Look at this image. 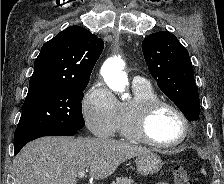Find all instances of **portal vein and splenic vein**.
<instances>
[{"mask_svg":"<svg viewBox=\"0 0 224 184\" xmlns=\"http://www.w3.org/2000/svg\"><path fill=\"white\" fill-rule=\"evenodd\" d=\"M86 172H87V170L80 171L78 174L79 178H83L85 176Z\"/></svg>","mask_w":224,"mask_h":184,"instance_id":"18ae733b","label":"portal vein and splenic vein"}]
</instances>
